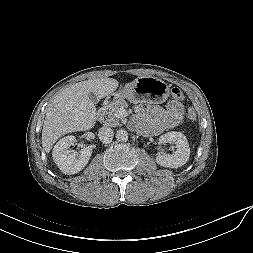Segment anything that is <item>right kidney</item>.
<instances>
[{"mask_svg":"<svg viewBox=\"0 0 253 253\" xmlns=\"http://www.w3.org/2000/svg\"><path fill=\"white\" fill-rule=\"evenodd\" d=\"M74 142V136L63 137L56 143L52 151L54 162L67 175L81 171L88 164L92 154L90 146L83 147L79 152L69 151L68 147Z\"/></svg>","mask_w":253,"mask_h":253,"instance_id":"1","label":"right kidney"}]
</instances>
